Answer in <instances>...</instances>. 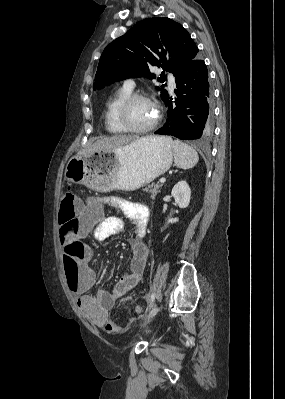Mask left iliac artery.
<instances>
[{"label": "left iliac artery", "instance_id": "obj_1", "mask_svg": "<svg viewBox=\"0 0 285 399\" xmlns=\"http://www.w3.org/2000/svg\"><path fill=\"white\" fill-rule=\"evenodd\" d=\"M154 299H155V296H154V294H152V296H151V304H150V307L153 306Z\"/></svg>", "mask_w": 285, "mask_h": 399}]
</instances>
